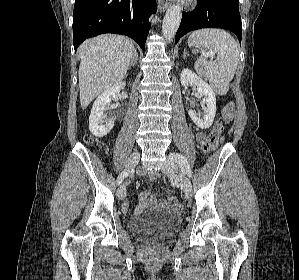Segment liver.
<instances>
[{"label": "liver", "instance_id": "6515ba94", "mask_svg": "<svg viewBox=\"0 0 299 280\" xmlns=\"http://www.w3.org/2000/svg\"><path fill=\"white\" fill-rule=\"evenodd\" d=\"M134 51L131 40L113 34L94 37L79 47L81 58L79 88L82 109L125 77Z\"/></svg>", "mask_w": 299, "mask_h": 280}]
</instances>
